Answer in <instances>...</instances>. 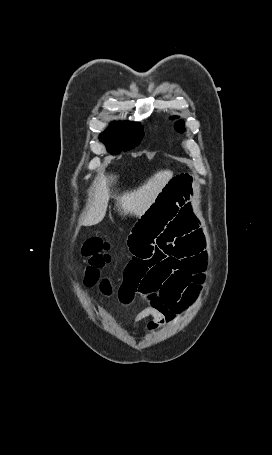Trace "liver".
<instances>
[{
    "label": "liver",
    "instance_id": "1",
    "mask_svg": "<svg viewBox=\"0 0 272 455\" xmlns=\"http://www.w3.org/2000/svg\"><path fill=\"white\" fill-rule=\"evenodd\" d=\"M173 172L161 170L149 178L141 187L126 191L121 195H113L117 203L116 207L121 215H134L141 217L155 202L159 193L172 178ZM116 181V177L105 176L100 172L94 181V192L88 202L87 215L83 225L91 226L101 222L106 214L110 197V186Z\"/></svg>",
    "mask_w": 272,
    "mask_h": 455
}]
</instances>
